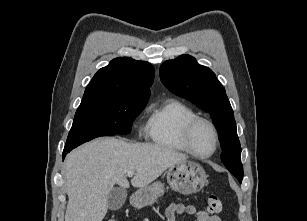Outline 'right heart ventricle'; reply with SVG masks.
Instances as JSON below:
<instances>
[{
  "mask_svg": "<svg viewBox=\"0 0 307 221\" xmlns=\"http://www.w3.org/2000/svg\"><path fill=\"white\" fill-rule=\"evenodd\" d=\"M196 113L185 103L167 99L151 107L145 134L154 144L178 152H186L181 133L187 121Z\"/></svg>",
  "mask_w": 307,
  "mask_h": 221,
  "instance_id": "1",
  "label": "right heart ventricle"
}]
</instances>
